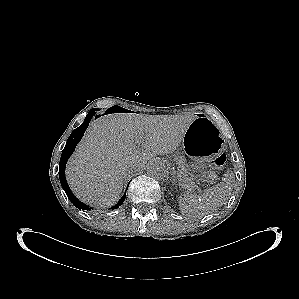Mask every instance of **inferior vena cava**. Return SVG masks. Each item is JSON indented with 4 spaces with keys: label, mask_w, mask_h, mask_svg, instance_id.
<instances>
[{
    "label": "inferior vena cava",
    "mask_w": 299,
    "mask_h": 299,
    "mask_svg": "<svg viewBox=\"0 0 299 299\" xmlns=\"http://www.w3.org/2000/svg\"><path fill=\"white\" fill-rule=\"evenodd\" d=\"M130 170L133 172V171L135 170V168H134V167H131Z\"/></svg>",
    "instance_id": "obj_1"
}]
</instances>
